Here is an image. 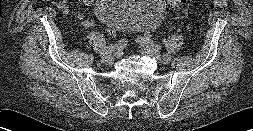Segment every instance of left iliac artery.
Wrapping results in <instances>:
<instances>
[{"mask_svg":"<svg viewBox=\"0 0 253 131\" xmlns=\"http://www.w3.org/2000/svg\"><path fill=\"white\" fill-rule=\"evenodd\" d=\"M146 44H152L154 47H155V49H161V46L160 45H158V44H155V43H153V41L149 38V37H144V38H141Z\"/></svg>","mask_w":253,"mask_h":131,"instance_id":"1","label":"left iliac artery"}]
</instances>
